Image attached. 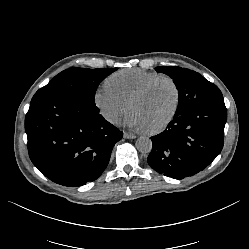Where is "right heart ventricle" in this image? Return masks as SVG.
<instances>
[{
	"label": "right heart ventricle",
	"instance_id": "obj_1",
	"mask_svg": "<svg viewBox=\"0 0 249 249\" xmlns=\"http://www.w3.org/2000/svg\"><path fill=\"white\" fill-rule=\"evenodd\" d=\"M160 75L162 74L155 71L138 68L123 69L110 74L104 84L112 93L128 102L146 82Z\"/></svg>",
	"mask_w": 249,
	"mask_h": 249
}]
</instances>
